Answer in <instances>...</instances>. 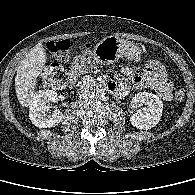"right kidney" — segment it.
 <instances>
[{
  "label": "right kidney",
  "mask_w": 195,
  "mask_h": 195,
  "mask_svg": "<svg viewBox=\"0 0 195 195\" xmlns=\"http://www.w3.org/2000/svg\"><path fill=\"white\" fill-rule=\"evenodd\" d=\"M58 102L57 92L49 89L39 90L31 100L29 106V117L31 122L38 128H51L58 125L63 120V113L55 109L52 114L47 115L50 109L49 102Z\"/></svg>",
  "instance_id": "ca27d5eb"
}]
</instances>
